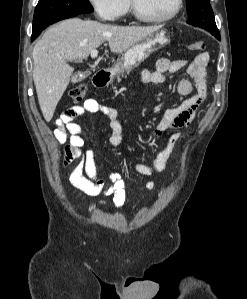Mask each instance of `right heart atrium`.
<instances>
[{
    "instance_id": "1",
    "label": "right heart atrium",
    "mask_w": 247,
    "mask_h": 299,
    "mask_svg": "<svg viewBox=\"0 0 247 299\" xmlns=\"http://www.w3.org/2000/svg\"><path fill=\"white\" fill-rule=\"evenodd\" d=\"M97 17L105 22L117 21L126 9V0H88Z\"/></svg>"
}]
</instances>
